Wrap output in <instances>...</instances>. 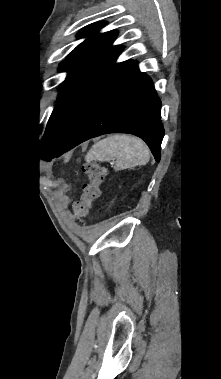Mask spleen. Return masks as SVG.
<instances>
[{"instance_id": "obj_1", "label": "spleen", "mask_w": 221, "mask_h": 379, "mask_svg": "<svg viewBox=\"0 0 221 379\" xmlns=\"http://www.w3.org/2000/svg\"><path fill=\"white\" fill-rule=\"evenodd\" d=\"M150 152L139 138L128 135H113L93 145L86 156L87 162H110L115 170L132 169L148 163ZM115 160V162H114Z\"/></svg>"}]
</instances>
